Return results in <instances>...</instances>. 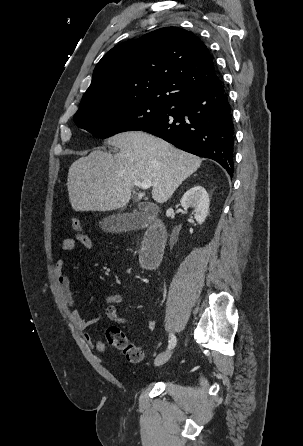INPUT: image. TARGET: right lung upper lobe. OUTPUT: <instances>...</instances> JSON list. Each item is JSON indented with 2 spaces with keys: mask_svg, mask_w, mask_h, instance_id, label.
<instances>
[{
  "mask_svg": "<svg viewBox=\"0 0 303 446\" xmlns=\"http://www.w3.org/2000/svg\"><path fill=\"white\" fill-rule=\"evenodd\" d=\"M219 81L203 41L193 32L165 27L108 51L96 65L77 113L131 101L173 106Z\"/></svg>",
  "mask_w": 303,
  "mask_h": 446,
  "instance_id": "right-lung-upper-lobe-1",
  "label": "right lung upper lobe"
}]
</instances>
